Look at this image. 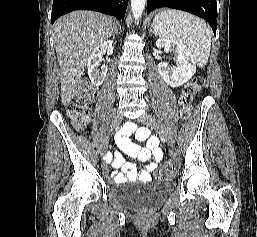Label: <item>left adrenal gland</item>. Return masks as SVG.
Returning a JSON list of instances; mask_svg holds the SVG:
<instances>
[{"mask_svg":"<svg viewBox=\"0 0 257 237\" xmlns=\"http://www.w3.org/2000/svg\"><path fill=\"white\" fill-rule=\"evenodd\" d=\"M152 28H153V26L151 25V28H150V31H149L150 33L153 32V29H152Z\"/></svg>","mask_w":257,"mask_h":237,"instance_id":"a2214340","label":"left adrenal gland"}]
</instances>
